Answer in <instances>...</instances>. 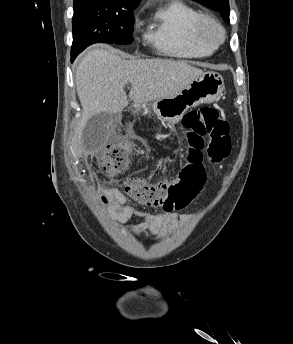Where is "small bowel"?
<instances>
[{
    "label": "small bowel",
    "instance_id": "1",
    "mask_svg": "<svg viewBox=\"0 0 293 344\" xmlns=\"http://www.w3.org/2000/svg\"><path fill=\"white\" fill-rule=\"evenodd\" d=\"M195 178L200 184L206 182V171L204 165L195 168ZM108 198V216L116 223H125L133 216H141L144 222L129 229L134 235L164 236L174 229L179 220H188V215L177 214L171 211L151 213L142 211L129 203L128 197L116 186L106 187L102 190Z\"/></svg>",
    "mask_w": 293,
    "mask_h": 344
}]
</instances>
